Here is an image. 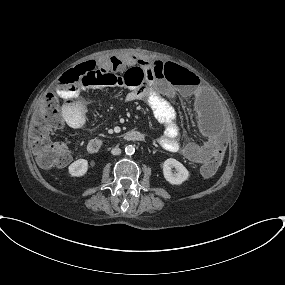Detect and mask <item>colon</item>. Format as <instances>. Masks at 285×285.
<instances>
[{"mask_svg": "<svg viewBox=\"0 0 285 285\" xmlns=\"http://www.w3.org/2000/svg\"><path fill=\"white\" fill-rule=\"evenodd\" d=\"M119 64L120 60L116 57H106L103 62L87 60L67 70L61 76L60 83L74 87L80 84H92L101 79L131 91H143L148 85V80L141 65L134 64L121 71ZM155 66L159 78L169 79L176 73V70L168 62H156ZM88 117L81 121V126L87 122ZM64 125L65 118L59 95L51 93L45 96L42 108L33 115L29 124L32 155L41 169L62 167L70 162L69 151L61 144L51 140V135ZM222 160V155L217 154L202 166V174L204 176L214 174Z\"/></svg>", "mask_w": 285, "mask_h": 285, "instance_id": "obj_1", "label": "colon"}]
</instances>
